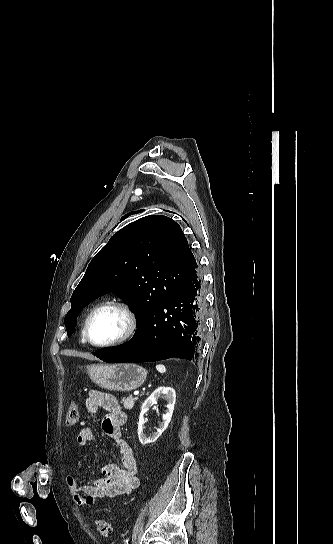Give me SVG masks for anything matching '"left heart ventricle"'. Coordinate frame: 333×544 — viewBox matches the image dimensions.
I'll use <instances>...</instances> for the list:
<instances>
[{
	"instance_id": "left-heart-ventricle-1",
	"label": "left heart ventricle",
	"mask_w": 333,
	"mask_h": 544,
	"mask_svg": "<svg viewBox=\"0 0 333 544\" xmlns=\"http://www.w3.org/2000/svg\"><path fill=\"white\" fill-rule=\"evenodd\" d=\"M126 318L113 306L98 310L89 324V336L93 342L105 343L118 338L124 331Z\"/></svg>"
}]
</instances>
